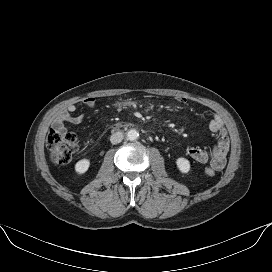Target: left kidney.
<instances>
[{
	"label": "left kidney",
	"mask_w": 272,
	"mask_h": 272,
	"mask_svg": "<svg viewBox=\"0 0 272 272\" xmlns=\"http://www.w3.org/2000/svg\"><path fill=\"white\" fill-rule=\"evenodd\" d=\"M176 165L182 173H188L190 170V162L186 158H178L176 160Z\"/></svg>",
	"instance_id": "left-kidney-1"
}]
</instances>
